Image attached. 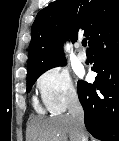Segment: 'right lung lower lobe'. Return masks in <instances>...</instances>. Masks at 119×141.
I'll use <instances>...</instances> for the list:
<instances>
[{"instance_id":"1","label":"right lung lower lobe","mask_w":119,"mask_h":141,"mask_svg":"<svg viewBox=\"0 0 119 141\" xmlns=\"http://www.w3.org/2000/svg\"><path fill=\"white\" fill-rule=\"evenodd\" d=\"M90 47L98 75L93 85L80 80L77 86L85 126L99 140L119 141V16L101 27Z\"/></svg>"}]
</instances>
